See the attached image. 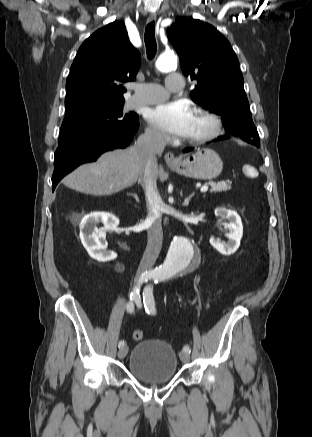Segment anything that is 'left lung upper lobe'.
<instances>
[{"label":"left lung upper lobe","instance_id":"obj_1","mask_svg":"<svg viewBox=\"0 0 312 437\" xmlns=\"http://www.w3.org/2000/svg\"><path fill=\"white\" fill-rule=\"evenodd\" d=\"M183 73L197 81L192 100L223 118L228 133L259 143L239 61L229 41L208 23L178 17L167 30Z\"/></svg>","mask_w":312,"mask_h":437}]
</instances>
